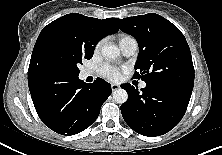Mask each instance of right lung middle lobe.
<instances>
[{
    "mask_svg": "<svg viewBox=\"0 0 222 155\" xmlns=\"http://www.w3.org/2000/svg\"><path fill=\"white\" fill-rule=\"evenodd\" d=\"M94 47L73 29H60L49 34L41 46V57L46 67L58 78L78 77L79 64L93 56Z\"/></svg>",
    "mask_w": 222,
    "mask_h": 155,
    "instance_id": "1",
    "label": "right lung middle lobe"
}]
</instances>
